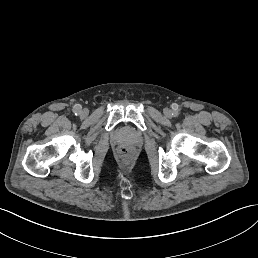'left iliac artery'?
<instances>
[{"mask_svg": "<svg viewBox=\"0 0 258 258\" xmlns=\"http://www.w3.org/2000/svg\"><path fill=\"white\" fill-rule=\"evenodd\" d=\"M172 115H173L174 117H177V116H179V112H178V111H174V112L172 113Z\"/></svg>", "mask_w": 258, "mask_h": 258, "instance_id": "obj_1", "label": "left iliac artery"}]
</instances>
